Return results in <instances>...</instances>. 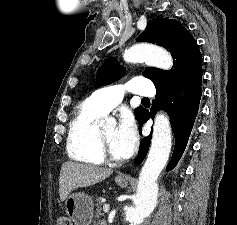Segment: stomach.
Here are the masks:
<instances>
[{
    "label": "stomach",
    "instance_id": "0dacf381",
    "mask_svg": "<svg viewBox=\"0 0 237 225\" xmlns=\"http://www.w3.org/2000/svg\"><path fill=\"white\" fill-rule=\"evenodd\" d=\"M120 187H127L129 179L115 178ZM66 214L75 225H90L93 218V200L85 193H74L65 202Z\"/></svg>",
    "mask_w": 237,
    "mask_h": 225
}]
</instances>
